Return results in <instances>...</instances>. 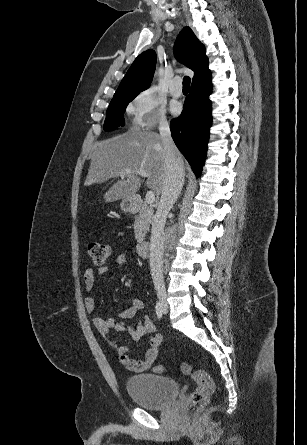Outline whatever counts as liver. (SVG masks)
<instances>
[{
	"label": "liver",
	"mask_w": 307,
	"mask_h": 445,
	"mask_svg": "<svg viewBox=\"0 0 307 445\" xmlns=\"http://www.w3.org/2000/svg\"><path fill=\"white\" fill-rule=\"evenodd\" d=\"M165 150L160 134L147 130H130L94 144V150L84 186L101 184L131 168L125 176L104 192V202L129 198L138 192L142 182L135 170H146L148 188L161 194L164 180Z\"/></svg>",
	"instance_id": "obj_1"
}]
</instances>
